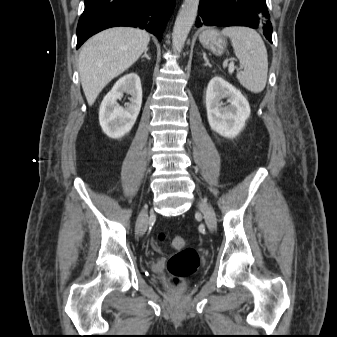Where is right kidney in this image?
I'll list each match as a JSON object with an SVG mask.
<instances>
[{
    "mask_svg": "<svg viewBox=\"0 0 337 337\" xmlns=\"http://www.w3.org/2000/svg\"><path fill=\"white\" fill-rule=\"evenodd\" d=\"M131 95L130 104L122 108L117 103L123 94ZM142 104V87L139 76L129 73L121 77L104 97L99 109V122L104 133L118 139L127 134L135 124Z\"/></svg>",
    "mask_w": 337,
    "mask_h": 337,
    "instance_id": "right-kidney-1",
    "label": "right kidney"
}]
</instances>
